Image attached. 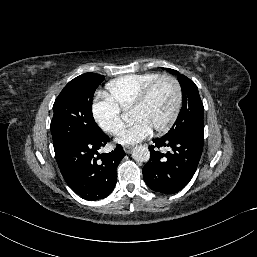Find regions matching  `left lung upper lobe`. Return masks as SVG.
<instances>
[{
  "label": "left lung upper lobe",
  "mask_w": 257,
  "mask_h": 257,
  "mask_svg": "<svg viewBox=\"0 0 257 257\" xmlns=\"http://www.w3.org/2000/svg\"><path fill=\"white\" fill-rule=\"evenodd\" d=\"M168 72L178 75L173 69ZM182 88L183 105L175 124L165 136L176 137L186 133L204 134V107L195 83L184 75L178 76Z\"/></svg>",
  "instance_id": "obj_1"
}]
</instances>
